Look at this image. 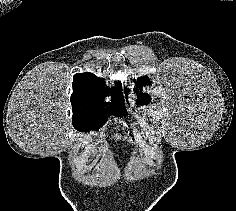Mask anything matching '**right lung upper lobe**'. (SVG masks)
Here are the masks:
<instances>
[{"instance_id": "1", "label": "right lung upper lobe", "mask_w": 236, "mask_h": 211, "mask_svg": "<svg viewBox=\"0 0 236 211\" xmlns=\"http://www.w3.org/2000/svg\"><path fill=\"white\" fill-rule=\"evenodd\" d=\"M112 95L111 103H104V97ZM73 113H100L106 114L105 107L110 104L109 114L127 112L122 86L118 82L117 89H108L104 80L97 78L92 73L75 74L73 77V94L71 96Z\"/></svg>"}]
</instances>
